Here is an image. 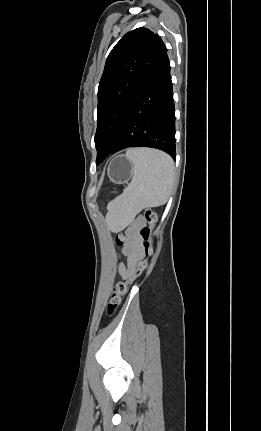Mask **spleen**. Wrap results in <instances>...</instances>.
Wrapping results in <instances>:
<instances>
[{"label":"spleen","mask_w":261,"mask_h":431,"mask_svg":"<svg viewBox=\"0 0 261 431\" xmlns=\"http://www.w3.org/2000/svg\"><path fill=\"white\" fill-rule=\"evenodd\" d=\"M126 157L133 164L132 180L123 193L109 204V210L135 215L144 208L165 204L175 177L171 157L148 148L129 149Z\"/></svg>","instance_id":"obj_1"}]
</instances>
